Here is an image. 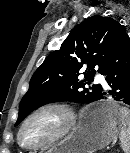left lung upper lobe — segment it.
Here are the masks:
<instances>
[{
	"instance_id": "obj_1",
	"label": "left lung upper lobe",
	"mask_w": 130,
	"mask_h": 153,
	"mask_svg": "<svg viewBox=\"0 0 130 153\" xmlns=\"http://www.w3.org/2000/svg\"><path fill=\"white\" fill-rule=\"evenodd\" d=\"M123 27L116 20L94 15L76 25L59 50L50 53L35 71L28 92L21 100L17 126L29 113L50 102L97 101L101 86L89 85L100 73ZM84 80H79V71Z\"/></svg>"
}]
</instances>
